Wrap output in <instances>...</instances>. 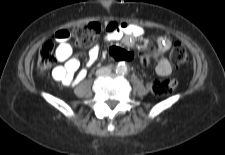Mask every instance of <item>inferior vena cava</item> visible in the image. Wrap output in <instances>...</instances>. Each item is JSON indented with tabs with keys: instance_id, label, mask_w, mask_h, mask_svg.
<instances>
[{
	"instance_id": "1",
	"label": "inferior vena cava",
	"mask_w": 225,
	"mask_h": 155,
	"mask_svg": "<svg viewBox=\"0 0 225 155\" xmlns=\"http://www.w3.org/2000/svg\"><path fill=\"white\" fill-rule=\"evenodd\" d=\"M109 71H110L109 68H102V69L98 70V73H106V72H109Z\"/></svg>"
}]
</instances>
